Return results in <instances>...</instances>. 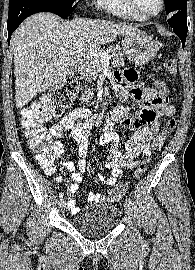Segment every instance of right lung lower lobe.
<instances>
[{"label": "right lung lower lobe", "instance_id": "1", "mask_svg": "<svg viewBox=\"0 0 195 270\" xmlns=\"http://www.w3.org/2000/svg\"><path fill=\"white\" fill-rule=\"evenodd\" d=\"M38 12L54 13L53 5L47 0H9L8 42L20 23L28 16Z\"/></svg>", "mask_w": 195, "mask_h": 270}]
</instances>
